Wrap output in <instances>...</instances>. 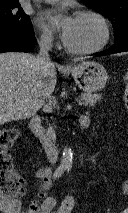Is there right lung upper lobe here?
Masks as SVG:
<instances>
[{"label":"right lung upper lobe","instance_id":"obj_1","mask_svg":"<svg viewBox=\"0 0 128 213\" xmlns=\"http://www.w3.org/2000/svg\"><path fill=\"white\" fill-rule=\"evenodd\" d=\"M19 4V0H0V6Z\"/></svg>","mask_w":128,"mask_h":213}]
</instances>
